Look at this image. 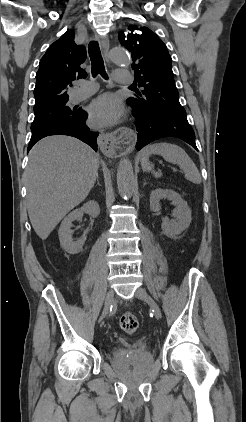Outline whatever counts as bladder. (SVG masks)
Listing matches in <instances>:
<instances>
[{
	"mask_svg": "<svg viewBox=\"0 0 246 422\" xmlns=\"http://www.w3.org/2000/svg\"><path fill=\"white\" fill-rule=\"evenodd\" d=\"M147 357H148V359H149V360H151V359H152V357H151L150 355H149V356H147Z\"/></svg>",
	"mask_w": 246,
	"mask_h": 422,
	"instance_id": "bladder-1",
	"label": "bladder"
}]
</instances>
